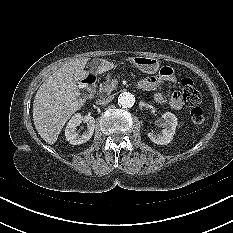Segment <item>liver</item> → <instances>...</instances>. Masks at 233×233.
<instances>
[{
    "mask_svg": "<svg viewBox=\"0 0 233 233\" xmlns=\"http://www.w3.org/2000/svg\"><path fill=\"white\" fill-rule=\"evenodd\" d=\"M88 58L65 63L39 87L33 102V121L38 134L52 145L70 117L86 102L81 98L79 80L88 76L84 70ZM116 65L105 59L95 62L94 70L102 74Z\"/></svg>",
    "mask_w": 233,
    "mask_h": 233,
    "instance_id": "liver-1",
    "label": "liver"
}]
</instances>
